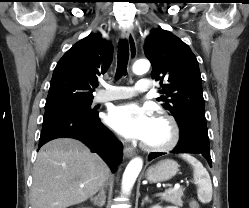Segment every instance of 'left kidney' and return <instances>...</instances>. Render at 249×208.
<instances>
[{
    "mask_svg": "<svg viewBox=\"0 0 249 208\" xmlns=\"http://www.w3.org/2000/svg\"><path fill=\"white\" fill-rule=\"evenodd\" d=\"M151 208H162V207H161V206H158V205H155V206H152ZM165 208H177V207L168 206V207H165Z\"/></svg>",
    "mask_w": 249,
    "mask_h": 208,
    "instance_id": "left-kidney-1",
    "label": "left kidney"
}]
</instances>
